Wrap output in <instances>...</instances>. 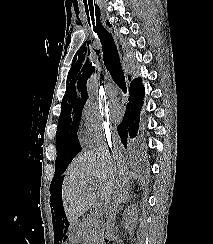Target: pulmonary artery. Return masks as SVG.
Listing matches in <instances>:
<instances>
[{
  "instance_id": "1",
  "label": "pulmonary artery",
  "mask_w": 213,
  "mask_h": 244,
  "mask_svg": "<svg viewBox=\"0 0 213 244\" xmlns=\"http://www.w3.org/2000/svg\"><path fill=\"white\" fill-rule=\"evenodd\" d=\"M105 90L108 96H115L117 93L116 87L112 83H108L105 87Z\"/></svg>"
}]
</instances>
